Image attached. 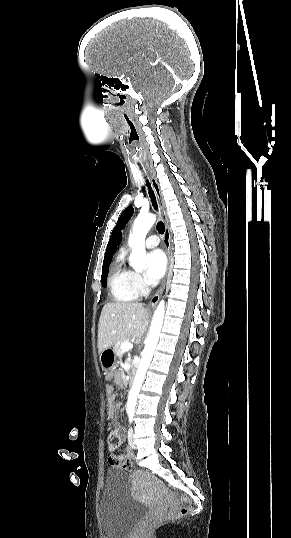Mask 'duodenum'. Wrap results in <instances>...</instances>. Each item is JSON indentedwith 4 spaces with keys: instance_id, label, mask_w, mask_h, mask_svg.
<instances>
[{
    "instance_id": "obj_1",
    "label": "duodenum",
    "mask_w": 291,
    "mask_h": 538,
    "mask_svg": "<svg viewBox=\"0 0 291 538\" xmlns=\"http://www.w3.org/2000/svg\"><path fill=\"white\" fill-rule=\"evenodd\" d=\"M128 377H129V382L127 383V386H128L129 388H132V387L134 386V383H133L132 381H133V379H134V377H135V374H134L133 372H130V373L128 374Z\"/></svg>"
}]
</instances>
